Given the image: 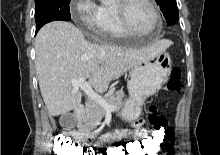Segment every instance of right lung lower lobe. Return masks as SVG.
I'll list each match as a JSON object with an SVG mask.
<instances>
[{
    "label": "right lung lower lobe",
    "mask_w": 220,
    "mask_h": 155,
    "mask_svg": "<svg viewBox=\"0 0 220 155\" xmlns=\"http://www.w3.org/2000/svg\"><path fill=\"white\" fill-rule=\"evenodd\" d=\"M40 28H36V32L39 30Z\"/></svg>",
    "instance_id": "obj_1"
}]
</instances>
